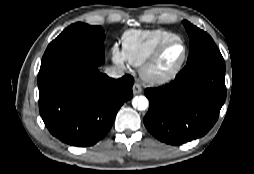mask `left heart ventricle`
Listing matches in <instances>:
<instances>
[{"mask_svg": "<svg viewBox=\"0 0 254 174\" xmlns=\"http://www.w3.org/2000/svg\"><path fill=\"white\" fill-rule=\"evenodd\" d=\"M183 52L184 49L180 43L169 46L159 60L157 71L165 72L173 68L181 60Z\"/></svg>", "mask_w": 254, "mask_h": 174, "instance_id": "left-heart-ventricle-1", "label": "left heart ventricle"}]
</instances>
